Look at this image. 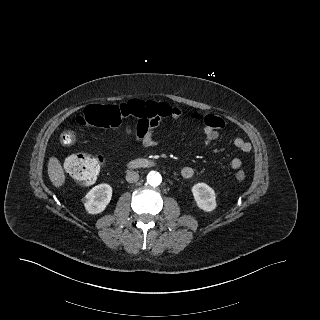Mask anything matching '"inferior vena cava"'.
<instances>
[{
	"instance_id": "602c4592",
	"label": "inferior vena cava",
	"mask_w": 320,
	"mask_h": 320,
	"mask_svg": "<svg viewBox=\"0 0 320 320\" xmlns=\"http://www.w3.org/2000/svg\"><path fill=\"white\" fill-rule=\"evenodd\" d=\"M126 180L129 183H135L139 180V174L135 171H127Z\"/></svg>"
}]
</instances>
